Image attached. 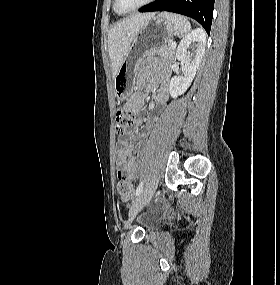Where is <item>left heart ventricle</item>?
Returning a JSON list of instances; mask_svg holds the SVG:
<instances>
[{"label":"left heart ventricle","mask_w":280,"mask_h":285,"mask_svg":"<svg viewBox=\"0 0 280 285\" xmlns=\"http://www.w3.org/2000/svg\"><path fill=\"white\" fill-rule=\"evenodd\" d=\"M119 8L123 11L130 10L139 4H141L145 0H118Z\"/></svg>","instance_id":"1"}]
</instances>
